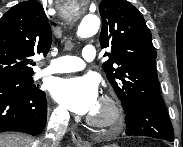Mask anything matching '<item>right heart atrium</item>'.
Returning a JSON list of instances; mask_svg holds the SVG:
<instances>
[{"instance_id":"obj_1","label":"right heart atrium","mask_w":183,"mask_h":147,"mask_svg":"<svg viewBox=\"0 0 183 147\" xmlns=\"http://www.w3.org/2000/svg\"><path fill=\"white\" fill-rule=\"evenodd\" d=\"M67 120V112L62 107H55L51 112V121L54 124H63Z\"/></svg>"}]
</instances>
